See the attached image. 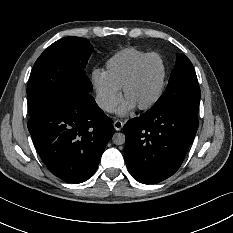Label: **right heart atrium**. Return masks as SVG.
I'll return each instance as SVG.
<instances>
[{
    "mask_svg": "<svg viewBox=\"0 0 233 233\" xmlns=\"http://www.w3.org/2000/svg\"><path fill=\"white\" fill-rule=\"evenodd\" d=\"M91 83L95 93V101L105 112L113 110L122 99V91L116 87L99 68L91 74Z\"/></svg>",
    "mask_w": 233,
    "mask_h": 233,
    "instance_id": "right-heart-atrium-1",
    "label": "right heart atrium"
}]
</instances>
